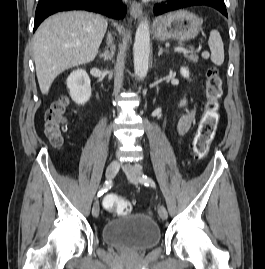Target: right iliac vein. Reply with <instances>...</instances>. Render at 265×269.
Instances as JSON below:
<instances>
[{
    "instance_id": "1",
    "label": "right iliac vein",
    "mask_w": 265,
    "mask_h": 269,
    "mask_svg": "<svg viewBox=\"0 0 265 269\" xmlns=\"http://www.w3.org/2000/svg\"><path fill=\"white\" fill-rule=\"evenodd\" d=\"M119 168H120V164H119V162H118V161H112V162L108 165V167H107V169H106V178H107V179H111V178H113V177L117 174ZM99 211H100V205H99L98 200H96V201L94 202V204H93V207H92V215H93L94 217H98V215H99Z\"/></svg>"
}]
</instances>
